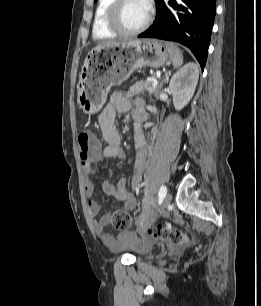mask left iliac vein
<instances>
[{"instance_id":"left-iliac-vein-1","label":"left iliac vein","mask_w":261,"mask_h":306,"mask_svg":"<svg viewBox=\"0 0 261 306\" xmlns=\"http://www.w3.org/2000/svg\"><path fill=\"white\" fill-rule=\"evenodd\" d=\"M172 195L167 193L162 200L161 206L159 207V211H163L171 202Z\"/></svg>"}]
</instances>
